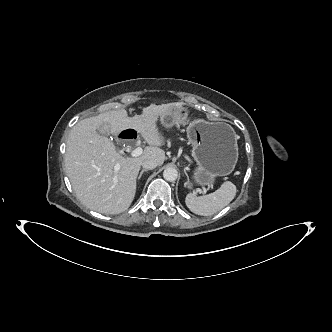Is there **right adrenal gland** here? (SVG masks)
Returning <instances> with one entry per match:
<instances>
[{
    "label": "right adrenal gland",
    "mask_w": 332,
    "mask_h": 332,
    "mask_svg": "<svg viewBox=\"0 0 332 332\" xmlns=\"http://www.w3.org/2000/svg\"><path fill=\"white\" fill-rule=\"evenodd\" d=\"M146 171H148V170H147V169H143V170L140 172V174H139V176H138V180L142 177L143 173L146 172Z\"/></svg>",
    "instance_id": "obj_1"
}]
</instances>
